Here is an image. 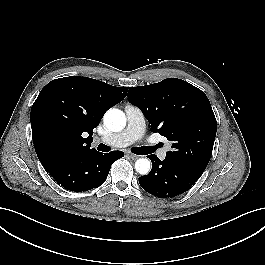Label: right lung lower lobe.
<instances>
[{"label": "right lung lower lobe", "instance_id": "obj_1", "mask_svg": "<svg viewBox=\"0 0 265 265\" xmlns=\"http://www.w3.org/2000/svg\"><path fill=\"white\" fill-rule=\"evenodd\" d=\"M123 156L122 151L102 154L94 150L59 159L43 167L65 189L82 192L101 186L112 163Z\"/></svg>", "mask_w": 265, "mask_h": 265}]
</instances>
